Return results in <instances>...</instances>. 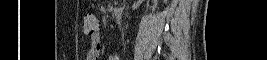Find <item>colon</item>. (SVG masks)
<instances>
[{
	"instance_id": "5ec220e1",
	"label": "colon",
	"mask_w": 267,
	"mask_h": 60,
	"mask_svg": "<svg viewBox=\"0 0 267 60\" xmlns=\"http://www.w3.org/2000/svg\"><path fill=\"white\" fill-rule=\"evenodd\" d=\"M98 29V20L92 14H87L84 17V30L88 35H93L97 32Z\"/></svg>"
}]
</instances>
